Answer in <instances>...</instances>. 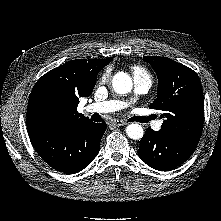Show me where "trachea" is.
Here are the masks:
<instances>
[{
    "mask_svg": "<svg viewBox=\"0 0 221 221\" xmlns=\"http://www.w3.org/2000/svg\"><path fill=\"white\" fill-rule=\"evenodd\" d=\"M153 117L149 116V117H133L131 118L132 121H136V122H140V123H146L148 121H150Z\"/></svg>",
    "mask_w": 221,
    "mask_h": 221,
    "instance_id": "1",
    "label": "trachea"
}]
</instances>
